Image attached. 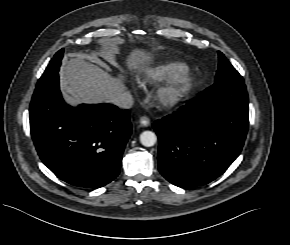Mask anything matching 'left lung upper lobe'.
<instances>
[{"label": "left lung upper lobe", "instance_id": "obj_1", "mask_svg": "<svg viewBox=\"0 0 290 245\" xmlns=\"http://www.w3.org/2000/svg\"><path fill=\"white\" fill-rule=\"evenodd\" d=\"M219 65L215 78V84L227 83V82H244L242 76L238 71L230 64L225 56L219 51Z\"/></svg>", "mask_w": 290, "mask_h": 245}]
</instances>
